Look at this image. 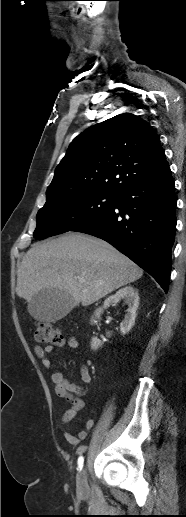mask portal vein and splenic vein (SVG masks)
<instances>
[{
    "label": "portal vein and splenic vein",
    "instance_id": "18ae733b",
    "mask_svg": "<svg viewBox=\"0 0 186 517\" xmlns=\"http://www.w3.org/2000/svg\"><path fill=\"white\" fill-rule=\"evenodd\" d=\"M81 283L85 282L83 278H78Z\"/></svg>",
    "mask_w": 186,
    "mask_h": 517
}]
</instances>
